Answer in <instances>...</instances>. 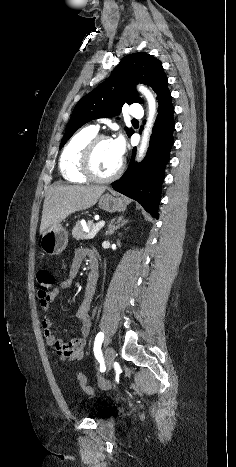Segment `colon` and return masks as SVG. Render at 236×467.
Here are the masks:
<instances>
[{"label":"colon","mask_w":236,"mask_h":467,"mask_svg":"<svg viewBox=\"0 0 236 467\" xmlns=\"http://www.w3.org/2000/svg\"><path fill=\"white\" fill-rule=\"evenodd\" d=\"M37 281H38V295L41 299H44L49 296L53 291L55 284V276L53 272L47 268H42L37 272ZM78 381L81 388L89 394L94 392L93 388L90 387L87 383V379L84 374L80 373L78 375ZM101 386L106 388L109 386V383L106 381L101 382Z\"/></svg>","instance_id":"1"}]
</instances>
